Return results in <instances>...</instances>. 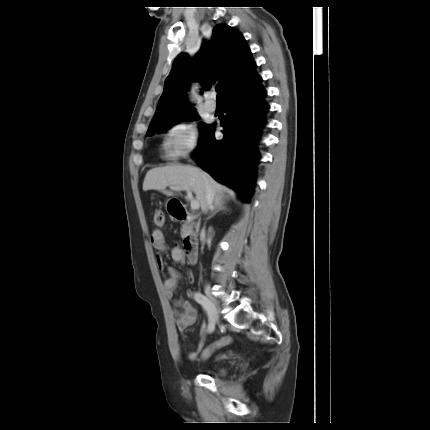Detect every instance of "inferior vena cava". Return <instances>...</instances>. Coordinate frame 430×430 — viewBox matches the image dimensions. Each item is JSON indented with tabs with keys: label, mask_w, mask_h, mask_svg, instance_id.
<instances>
[{
	"label": "inferior vena cava",
	"mask_w": 430,
	"mask_h": 430,
	"mask_svg": "<svg viewBox=\"0 0 430 430\" xmlns=\"http://www.w3.org/2000/svg\"><path fill=\"white\" fill-rule=\"evenodd\" d=\"M213 199H214V193L210 187V185L207 183L206 184V192H205V210L210 208L212 209V203H213Z\"/></svg>",
	"instance_id": "602c4592"
}]
</instances>
